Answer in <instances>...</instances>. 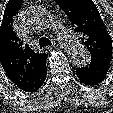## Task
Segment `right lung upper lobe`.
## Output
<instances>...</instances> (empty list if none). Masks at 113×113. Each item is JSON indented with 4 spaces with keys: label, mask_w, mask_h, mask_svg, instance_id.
Listing matches in <instances>:
<instances>
[{
    "label": "right lung upper lobe",
    "mask_w": 113,
    "mask_h": 113,
    "mask_svg": "<svg viewBox=\"0 0 113 113\" xmlns=\"http://www.w3.org/2000/svg\"><path fill=\"white\" fill-rule=\"evenodd\" d=\"M23 0H9L0 27V62L7 76L20 89L34 83L46 67L47 54L34 53L13 30V16Z\"/></svg>",
    "instance_id": "1"
}]
</instances>
